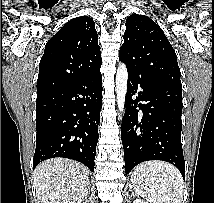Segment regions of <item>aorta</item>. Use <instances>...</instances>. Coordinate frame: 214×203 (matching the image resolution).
<instances>
[{"label":"aorta","instance_id":"762f6f07","mask_svg":"<svg viewBox=\"0 0 214 203\" xmlns=\"http://www.w3.org/2000/svg\"><path fill=\"white\" fill-rule=\"evenodd\" d=\"M128 71L124 63H120L116 73L117 106L120 114L125 113V98L127 93Z\"/></svg>","mask_w":214,"mask_h":203}]
</instances>
